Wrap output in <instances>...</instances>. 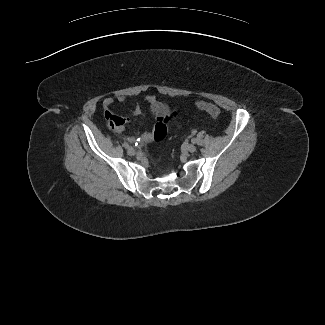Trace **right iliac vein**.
Returning a JSON list of instances; mask_svg holds the SVG:
<instances>
[{
    "label": "right iliac vein",
    "mask_w": 325,
    "mask_h": 325,
    "mask_svg": "<svg viewBox=\"0 0 325 325\" xmlns=\"http://www.w3.org/2000/svg\"><path fill=\"white\" fill-rule=\"evenodd\" d=\"M127 153H128L129 155H134V154H135V150H134V148H133V147H128V148H127Z\"/></svg>",
    "instance_id": "63e3f726"
}]
</instances>
